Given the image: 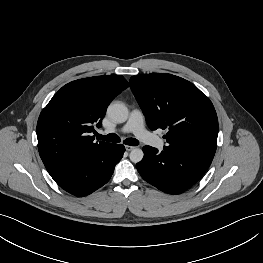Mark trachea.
<instances>
[{"label": "trachea", "instance_id": "1", "mask_svg": "<svg viewBox=\"0 0 263 263\" xmlns=\"http://www.w3.org/2000/svg\"><path fill=\"white\" fill-rule=\"evenodd\" d=\"M96 137L99 140H104V141H108V142H115L118 143L120 142V138L118 135L111 133L108 135H101V134H96ZM124 143L130 146H137L139 144V141L135 138H127L124 140Z\"/></svg>", "mask_w": 263, "mask_h": 263}]
</instances>
